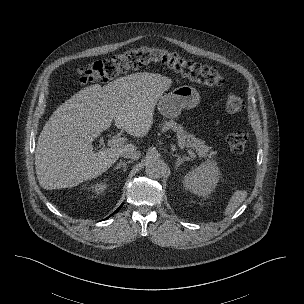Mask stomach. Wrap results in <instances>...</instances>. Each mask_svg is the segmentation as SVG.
I'll list each match as a JSON object with an SVG mask.
<instances>
[{
  "instance_id": "stomach-1",
  "label": "stomach",
  "mask_w": 304,
  "mask_h": 304,
  "mask_svg": "<svg viewBox=\"0 0 304 304\" xmlns=\"http://www.w3.org/2000/svg\"><path fill=\"white\" fill-rule=\"evenodd\" d=\"M199 102V92L191 86L183 85L160 96L157 101V108L163 116L176 118L183 109L196 107Z\"/></svg>"
}]
</instances>
